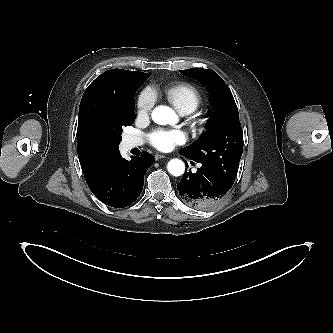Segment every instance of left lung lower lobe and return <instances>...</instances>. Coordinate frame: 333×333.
Here are the masks:
<instances>
[{
    "label": "left lung lower lobe",
    "mask_w": 333,
    "mask_h": 333,
    "mask_svg": "<svg viewBox=\"0 0 333 333\" xmlns=\"http://www.w3.org/2000/svg\"><path fill=\"white\" fill-rule=\"evenodd\" d=\"M185 156L183 153L179 152ZM186 157V156H185ZM232 183L202 165L196 173H184L177 189L181 199L197 209H210L231 189Z\"/></svg>",
    "instance_id": "obj_1"
}]
</instances>
